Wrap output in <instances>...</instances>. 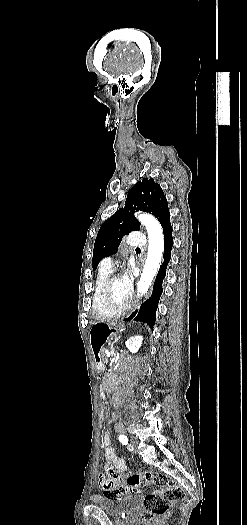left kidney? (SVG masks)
Returning <instances> with one entry per match:
<instances>
[{
    "label": "left kidney",
    "instance_id": "left-kidney-1",
    "mask_svg": "<svg viewBox=\"0 0 247 525\" xmlns=\"http://www.w3.org/2000/svg\"><path fill=\"white\" fill-rule=\"evenodd\" d=\"M142 341L143 337H141V335H135V337L127 339L125 345L130 353H138L140 347L143 345Z\"/></svg>",
    "mask_w": 247,
    "mask_h": 525
}]
</instances>
